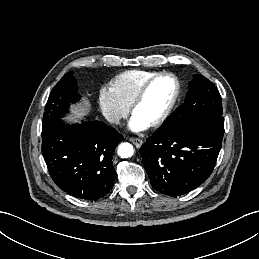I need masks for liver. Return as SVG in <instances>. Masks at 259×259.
Returning <instances> with one entry per match:
<instances>
[{
  "label": "liver",
  "mask_w": 259,
  "mask_h": 259,
  "mask_svg": "<svg viewBox=\"0 0 259 259\" xmlns=\"http://www.w3.org/2000/svg\"><path fill=\"white\" fill-rule=\"evenodd\" d=\"M86 103V106H89L88 102L85 101ZM72 112L74 114V116H68L67 118H65L66 120L68 121H77V119L83 117L85 114H84V109L81 108L80 106L78 107H72Z\"/></svg>",
  "instance_id": "6515ba94"
}]
</instances>
